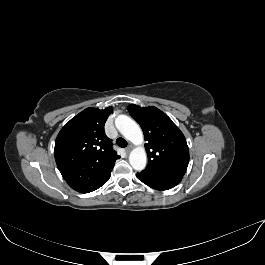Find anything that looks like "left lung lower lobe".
<instances>
[{"mask_svg": "<svg viewBox=\"0 0 265 265\" xmlns=\"http://www.w3.org/2000/svg\"><path fill=\"white\" fill-rule=\"evenodd\" d=\"M140 181L145 183L151 188L163 191L168 190L178 185L183 177L180 176H167L160 174H151L144 171L137 173Z\"/></svg>", "mask_w": 265, "mask_h": 265, "instance_id": "obj_1", "label": "left lung lower lobe"}]
</instances>
